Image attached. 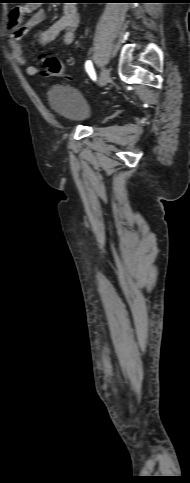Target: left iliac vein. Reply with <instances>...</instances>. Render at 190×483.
Instances as JSON below:
<instances>
[{"label": "left iliac vein", "instance_id": "1", "mask_svg": "<svg viewBox=\"0 0 190 483\" xmlns=\"http://www.w3.org/2000/svg\"><path fill=\"white\" fill-rule=\"evenodd\" d=\"M110 80V70L107 67H104L100 74V85L103 87L105 86Z\"/></svg>", "mask_w": 190, "mask_h": 483}]
</instances>
